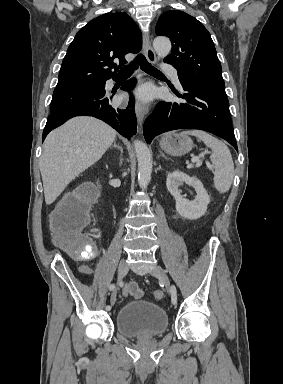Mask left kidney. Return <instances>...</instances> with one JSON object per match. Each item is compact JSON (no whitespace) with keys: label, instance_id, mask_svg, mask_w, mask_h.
I'll return each mask as SVG.
<instances>
[{"label":"left kidney","instance_id":"obj_1","mask_svg":"<svg viewBox=\"0 0 283 384\" xmlns=\"http://www.w3.org/2000/svg\"><path fill=\"white\" fill-rule=\"evenodd\" d=\"M184 182L187 186L195 188L197 196L192 202H189L184 196H181V190H179L178 186H183ZM166 186L171 196H174L176 200V210L182 218H187V220H198V218L204 216L210 198L205 188H203L202 182H200L198 178H190L187 174L175 170L172 174H168Z\"/></svg>","mask_w":283,"mask_h":384}]
</instances>
